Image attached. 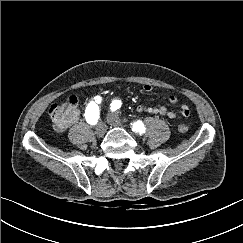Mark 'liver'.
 <instances>
[{
  "label": "liver",
  "instance_id": "obj_1",
  "mask_svg": "<svg viewBox=\"0 0 243 243\" xmlns=\"http://www.w3.org/2000/svg\"><path fill=\"white\" fill-rule=\"evenodd\" d=\"M63 110V107L61 108L60 112Z\"/></svg>",
  "mask_w": 243,
  "mask_h": 243
}]
</instances>
